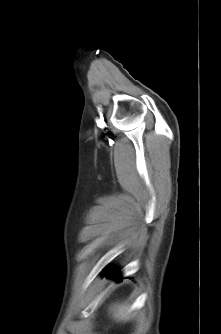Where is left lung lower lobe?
Returning a JSON list of instances; mask_svg holds the SVG:
<instances>
[{
  "mask_svg": "<svg viewBox=\"0 0 221 334\" xmlns=\"http://www.w3.org/2000/svg\"><path fill=\"white\" fill-rule=\"evenodd\" d=\"M104 273L107 277L115 279V280H119V278H121L118 272L114 270H110V269L104 270Z\"/></svg>",
  "mask_w": 221,
  "mask_h": 334,
  "instance_id": "obj_1",
  "label": "left lung lower lobe"
}]
</instances>
